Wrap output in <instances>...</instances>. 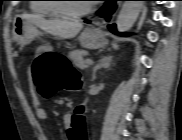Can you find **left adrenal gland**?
<instances>
[{
    "instance_id": "left-adrenal-gland-1",
    "label": "left adrenal gland",
    "mask_w": 182,
    "mask_h": 140,
    "mask_svg": "<svg viewBox=\"0 0 182 140\" xmlns=\"http://www.w3.org/2000/svg\"><path fill=\"white\" fill-rule=\"evenodd\" d=\"M113 59L111 56L103 57L98 61V63L93 67L92 71V81L96 79V72L101 68H109L112 65Z\"/></svg>"
}]
</instances>
